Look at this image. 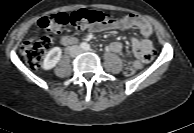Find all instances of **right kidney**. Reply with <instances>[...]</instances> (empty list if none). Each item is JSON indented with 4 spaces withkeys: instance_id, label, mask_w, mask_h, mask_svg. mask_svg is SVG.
Returning <instances> with one entry per match:
<instances>
[{
    "instance_id": "1",
    "label": "right kidney",
    "mask_w": 194,
    "mask_h": 133,
    "mask_svg": "<svg viewBox=\"0 0 194 133\" xmlns=\"http://www.w3.org/2000/svg\"><path fill=\"white\" fill-rule=\"evenodd\" d=\"M61 48L60 47H54L52 48L45 56L42 68L44 70H50L56 66V64L59 62L61 58Z\"/></svg>"
}]
</instances>
